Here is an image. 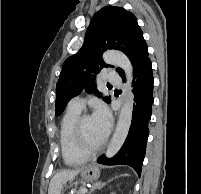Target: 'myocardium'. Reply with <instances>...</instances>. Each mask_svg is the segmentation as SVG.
Here are the masks:
<instances>
[{
	"label": "myocardium",
	"instance_id": "obj_1",
	"mask_svg": "<svg viewBox=\"0 0 201 194\" xmlns=\"http://www.w3.org/2000/svg\"><path fill=\"white\" fill-rule=\"evenodd\" d=\"M89 117H91L89 114H81L77 118L74 125V140H75L76 147L81 153H83L84 155L88 157L99 152L105 145V140H103L101 143H99L98 145L94 147H89L86 144L84 140V136H83L82 126H83V122Z\"/></svg>",
	"mask_w": 201,
	"mask_h": 194
}]
</instances>
